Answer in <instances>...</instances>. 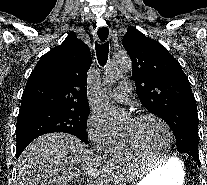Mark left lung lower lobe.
I'll return each mask as SVG.
<instances>
[{"label": "left lung lower lobe", "instance_id": "1", "mask_svg": "<svg viewBox=\"0 0 207 185\" xmlns=\"http://www.w3.org/2000/svg\"><path fill=\"white\" fill-rule=\"evenodd\" d=\"M190 156L196 161L198 165H200L199 155L198 154H190Z\"/></svg>", "mask_w": 207, "mask_h": 185}]
</instances>
